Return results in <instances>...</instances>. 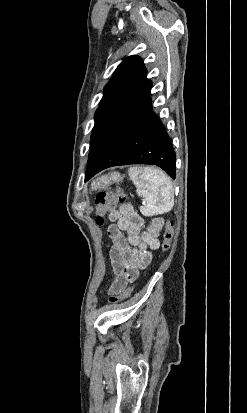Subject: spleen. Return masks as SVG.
Returning <instances> with one entry per match:
<instances>
[{"label": "spleen", "instance_id": "1", "mask_svg": "<svg viewBox=\"0 0 247 413\" xmlns=\"http://www.w3.org/2000/svg\"><path fill=\"white\" fill-rule=\"evenodd\" d=\"M128 174L137 186V194L147 200L141 207L147 215H162L173 209L174 188L172 180L161 168L154 166H131Z\"/></svg>", "mask_w": 247, "mask_h": 413}]
</instances>
